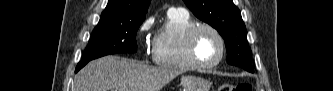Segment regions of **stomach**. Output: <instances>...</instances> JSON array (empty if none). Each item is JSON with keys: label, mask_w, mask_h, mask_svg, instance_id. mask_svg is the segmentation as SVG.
<instances>
[{"label": "stomach", "mask_w": 333, "mask_h": 91, "mask_svg": "<svg viewBox=\"0 0 333 91\" xmlns=\"http://www.w3.org/2000/svg\"><path fill=\"white\" fill-rule=\"evenodd\" d=\"M183 91H209L210 82L204 78L196 76H183L181 78Z\"/></svg>", "instance_id": "stomach-1"}]
</instances>
